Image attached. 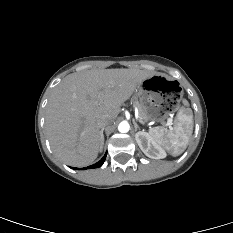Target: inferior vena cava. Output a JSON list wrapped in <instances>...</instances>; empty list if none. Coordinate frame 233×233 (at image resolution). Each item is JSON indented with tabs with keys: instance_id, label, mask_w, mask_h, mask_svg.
I'll return each instance as SVG.
<instances>
[{
	"instance_id": "inferior-vena-cava-1",
	"label": "inferior vena cava",
	"mask_w": 233,
	"mask_h": 233,
	"mask_svg": "<svg viewBox=\"0 0 233 233\" xmlns=\"http://www.w3.org/2000/svg\"><path fill=\"white\" fill-rule=\"evenodd\" d=\"M110 124H111L110 120L107 119V118H105V117L101 118V119L98 121V126H99L101 129H103V130H104V128H105L106 126H108V125H110Z\"/></svg>"
}]
</instances>
